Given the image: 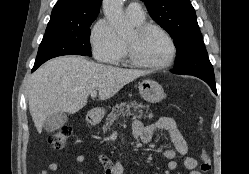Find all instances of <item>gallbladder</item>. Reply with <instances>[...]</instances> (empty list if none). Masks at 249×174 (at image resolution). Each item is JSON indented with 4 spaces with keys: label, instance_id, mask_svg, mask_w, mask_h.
I'll use <instances>...</instances> for the list:
<instances>
[{
    "label": "gallbladder",
    "instance_id": "1",
    "mask_svg": "<svg viewBox=\"0 0 249 174\" xmlns=\"http://www.w3.org/2000/svg\"><path fill=\"white\" fill-rule=\"evenodd\" d=\"M68 120L66 113H54L46 118L43 128L47 132H53L62 127Z\"/></svg>",
    "mask_w": 249,
    "mask_h": 174
}]
</instances>
